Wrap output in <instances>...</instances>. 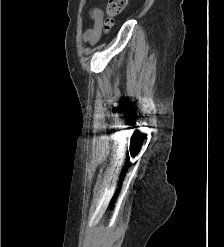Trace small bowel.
Listing matches in <instances>:
<instances>
[{
  "instance_id": "1",
  "label": "small bowel",
  "mask_w": 224,
  "mask_h": 247,
  "mask_svg": "<svg viewBox=\"0 0 224 247\" xmlns=\"http://www.w3.org/2000/svg\"><path fill=\"white\" fill-rule=\"evenodd\" d=\"M91 16L95 24L94 27L86 33L85 40L90 43H95L100 36L102 26V13L100 10L96 9L92 12Z\"/></svg>"
}]
</instances>
